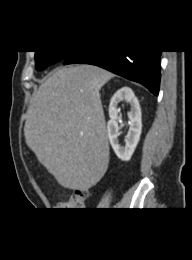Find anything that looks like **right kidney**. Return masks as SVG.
I'll use <instances>...</instances> for the list:
<instances>
[{
    "label": "right kidney",
    "mask_w": 192,
    "mask_h": 260,
    "mask_svg": "<svg viewBox=\"0 0 192 260\" xmlns=\"http://www.w3.org/2000/svg\"><path fill=\"white\" fill-rule=\"evenodd\" d=\"M122 101H127L130 105V111L128 112L130 128L125 138V146H122L119 142V127L117 123L118 114L120 112L118 104ZM109 117L107 135L110 144L119 159L129 161L140 140L142 131L140 105L138 99L129 87H123L113 95L109 104Z\"/></svg>",
    "instance_id": "1"
}]
</instances>
